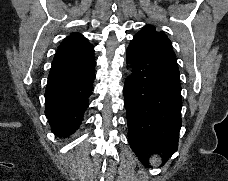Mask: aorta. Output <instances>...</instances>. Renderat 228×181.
<instances>
[{"label": "aorta", "instance_id": "762f6f07", "mask_svg": "<svg viewBox=\"0 0 228 181\" xmlns=\"http://www.w3.org/2000/svg\"><path fill=\"white\" fill-rule=\"evenodd\" d=\"M127 73H128V75H131V73H132V69H131V68H129V69H128V71H127Z\"/></svg>", "mask_w": 228, "mask_h": 181}]
</instances>
